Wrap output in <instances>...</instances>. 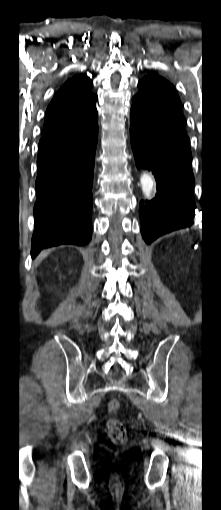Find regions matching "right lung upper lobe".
<instances>
[{"label": "right lung upper lobe", "mask_w": 221, "mask_h": 510, "mask_svg": "<svg viewBox=\"0 0 221 510\" xmlns=\"http://www.w3.org/2000/svg\"><path fill=\"white\" fill-rule=\"evenodd\" d=\"M84 75L68 80L56 93L46 111L40 142L62 138L87 128L97 115V95Z\"/></svg>", "instance_id": "cb5924a9"}]
</instances>
